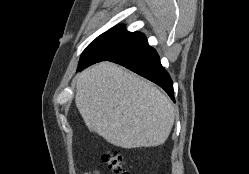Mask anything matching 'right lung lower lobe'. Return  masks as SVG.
<instances>
[{
	"label": "right lung lower lobe",
	"instance_id": "right-lung-lower-lobe-1",
	"mask_svg": "<svg viewBox=\"0 0 249 174\" xmlns=\"http://www.w3.org/2000/svg\"><path fill=\"white\" fill-rule=\"evenodd\" d=\"M108 60L120 64L158 84L174 101L172 80L167 71L162 67L156 50L149 46L148 42ZM84 68L86 67L78 71Z\"/></svg>",
	"mask_w": 249,
	"mask_h": 174
}]
</instances>
